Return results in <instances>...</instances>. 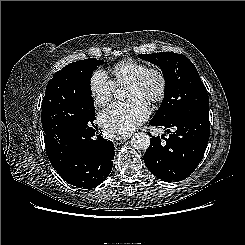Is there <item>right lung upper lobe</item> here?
Returning a JSON list of instances; mask_svg holds the SVG:
<instances>
[{
	"instance_id": "1",
	"label": "right lung upper lobe",
	"mask_w": 245,
	"mask_h": 245,
	"mask_svg": "<svg viewBox=\"0 0 245 245\" xmlns=\"http://www.w3.org/2000/svg\"><path fill=\"white\" fill-rule=\"evenodd\" d=\"M70 86L71 83L67 66L57 72L49 81L41 108V122L44 132L54 128L53 121L61 110L63 102L69 93Z\"/></svg>"
}]
</instances>
